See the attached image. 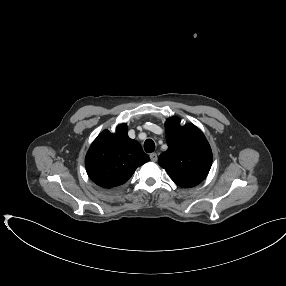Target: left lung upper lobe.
Returning a JSON list of instances; mask_svg holds the SVG:
<instances>
[{"instance_id": "left-lung-upper-lobe-1", "label": "left lung upper lobe", "mask_w": 286, "mask_h": 286, "mask_svg": "<svg viewBox=\"0 0 286 286\" xmlns=\"http://www.w3.org/2000/svg\"><path fill=\"white\" fill-rule=\"evenodd\" d=\"M180 118L170 117L165 123L168 150L158 162L180 187L201 183L212 165V151L204 134L193 124L180 125Z\"/></svg>"}]
</instances>
